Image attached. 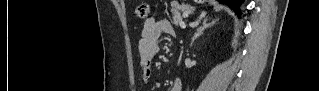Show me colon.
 <instances>
[{
  "instance_id": "5ec220e1",
  "label": "colon",
  "mask_w": 319,
  "mask_h": 91,
  "mask_svg": "<svg viewBox=\"0 0 319 91\" xmlns=\"http://www.w3.org/2000/svg\"><path fill=\"white\" fill-rule=\"evenodd\" d=\"M150 14V6L148 3L146 2H143V3H140L137 8H136V15L139 17V18H147Z\"/></svg>"
}]
</instances>
